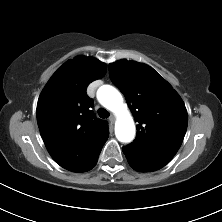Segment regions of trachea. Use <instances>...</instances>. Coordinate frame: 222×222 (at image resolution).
<instances>
[{"instance_id":"1","label":"trachea","mask_w":222,"mask_h":222,"mask_svg":"<svg viewBox=\"0 0 222 222\" xmlns=\"http://www.w3.org/2000/svg\"><path fill=\"white\" fill-rule=\"evenodd\" d=\"M98 115L101 117V118H108L109 117V112L104 109V108H99L98 109Z\"/></svg>"}]
</instances>
